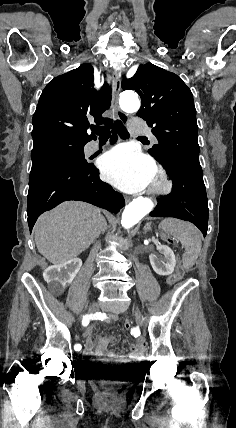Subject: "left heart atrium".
Listing matches in <instances>:
<instances>
[{"instance_id": "1", "label": "left heart atrium", "mask_w": 236, "mask_h": 428, "mask_svg": "<svg viewBox=\"0 0 236 428\" xmlns=\"http://www.w3.org/2000/svg\"><path fill=\"white\" fill-rule=\"evenodd\" d=\"M101 172L106 181L129 193L143 191L154 178V167L149 159L126 145L113 148L103 157Z\"/></svg>"}]
</instances>
